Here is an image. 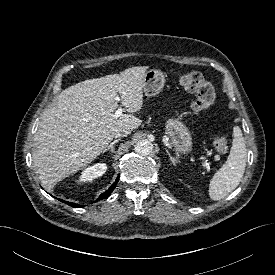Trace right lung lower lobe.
<instances>
[{
	"mask_svg": "<svg viewBox=\"0 0 275 275\" xmlns=\"http://www.w3.org/2000/svg\"><path fill=\"white\" fill-rule=\"evenodd\" d=\"M118 180H119V177H117L116 181L113 183V185L106 192H104L100 195L99 199H105V198L109 197V195L112 193V191L116 187ZM63 202H65L66 204H68L74 208L82 207L81 205H78L76 203H72V202H68V201H63Z\"/></svg>",
	"mask_w": 275,
	"mask_h": 275,
	"instance_id": "1",
	"label": "right lung lower lobe"
}]
</instances>
